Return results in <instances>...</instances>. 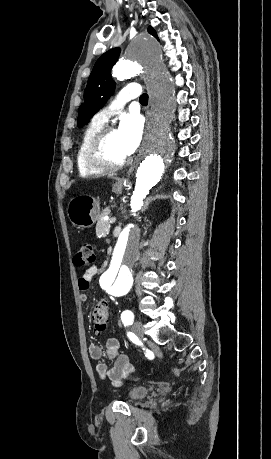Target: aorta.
<instances>
[{
  "label": "aorta",
  "mask_w": 271,
  "mask_h": 459,
  "mask_svg": "<svg viewBox=\"0 0 271 459\" xmlns=\"http://www.w3.org/2000/svg\"><path fill=\"white\" fill-rule=\"evenodd\" d=\"M145 72L151 95V123L142 148L136 173V184L131 196V213L141 210L150 189L165 174L174 151L170 123L174 118V82L164 65L158 44L148 36L132 41L127 59L117 63L112 75L117 80L129 79ZM140 229L129 221L121 231L111 260L100 277L101 287L113 296L127 294L133 284L132 267L139 256Z\"/></svg>",
  "instance_id": "762f6f07"
}]
</instances>
